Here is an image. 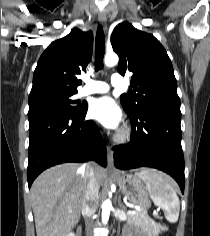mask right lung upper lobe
Returning <instances> with one entry per match:
<instances>
[{
    "label": "right lung upper lobe",
    "mask_w": 210,
    "mask_h": 236,
    "mask_svg": "<svg viewBox=\"0 0 210 236\" xmlns=\"http://www.w3.org/2000/svg\"><path fill=\"white\" fill-rule=\"evenodd\" d=\"M93 33L74 28L67 36L52 42L41 55L34 71L29 101L50 92L77 93V75L91 60Z\"/></svg>",
    "instance_id": "1"
}]
</instances>
